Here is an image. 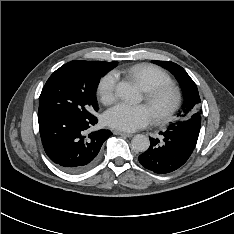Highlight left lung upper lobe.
<instances>
[{"instance_id": "1", "label": "left lung upper lobe", "mask_w": 234, "mask_h": 234, "mask_svg": "<svg viewBox=\"0 0 234 234\" xmlns=\"http://www.w3.org/2000/svg\"><path fill=\"white\" fill-rule=\"evenodd\" d=\"M153 63L168 69L174 74L183 91L184 104L181 112L178 114L179 120L172 123L169 128L185 130L189 135L198 138L201 127L202 111L201 100L196 84L187 72L174 62L153 60Z\"/></svg>"}]
</instances>
